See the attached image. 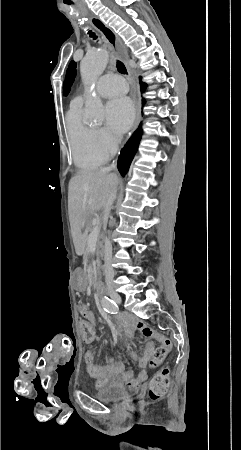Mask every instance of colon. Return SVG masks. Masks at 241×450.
<instances>
[{
	"mask_svg": "<svg viewBox=\"0 0 241 450\" xmlns=\"http://www.w3.org/2000/svg\"><path fill=\"white\" fill-rule=\"evenodd\" d=\"M98 338V333L93 331V325L86 323L79 326V339L84 341L86 345H91L93 340ZM168 354L166 347L157 349L155 357L153 358V367H158L161 360ZM169 386V370L165 368L162 372L156 374L148 385L147 400L155 402L162 399L168 391Z\"/></svg>",
	"mask_w": 241,
	"mask_h": 450,
	"instance_id": "obj_1",
	"label": "colon"
}]
</instances>
